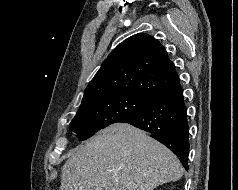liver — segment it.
I'll return each instance as SVG.
<instances>
[{
  "label": "liver",
  "mask_w": 238,
  "mask_h": 190,
  "mask_svg": "<svg viewBox=\"0 0 238 190\" xmlns=\"http://www.w3.org/2000/svg\"><path fill=\"white\" fill-rule=\"evenodd\" d=\"M182 175L167 147L132 125L116 123L70 153L60 190H154Z\"/></svg>",
  "instance_id": "6515ba94"
}]
</instances>
